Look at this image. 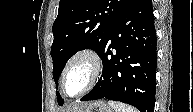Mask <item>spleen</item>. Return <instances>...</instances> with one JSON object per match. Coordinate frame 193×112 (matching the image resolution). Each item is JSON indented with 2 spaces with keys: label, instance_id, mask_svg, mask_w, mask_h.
<instances>
[{
  "label": "spleen",
  "instance_id": "obj_1",
  "mask_svg": "<svg viewBox=\"0 0 193 112\" xmlns=\"http://www.w3.org/2000/svg\"><path fill=\"white\" fill-rule=\"evenodd\" d=\"M108 104L115 110V112H138L137 109L120 102L108 101Z\"/></svg>",
  "mask_w": 193,
  "mask_h": 112
}]
</instances>
